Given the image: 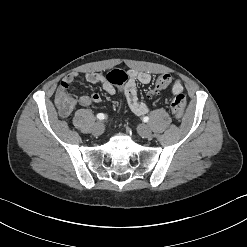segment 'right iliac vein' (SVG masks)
Segmentation results:
<instances>
[{"label": "right iliac vein", "instance_id": "63e3f726", "mask_svg": "<svg viewBox=\"0 0 247 247\" xmlns=\"http://www.w3.org/2000/svg\"><path fill=\"white\" fill-rule=\"evenodd\" d=\"M104 129V124L102 122H97L93 127V134L99 136L104 132Z\"/></svg>", "mask_w": 247, "mask_h": 247}]
</instances>
